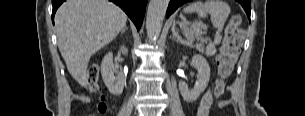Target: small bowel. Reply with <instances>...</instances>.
Wrapping results in <instances>:
<instances>
[{
	"mask_svg": "<svg viewBox=\"0 0 305 116\" xmlns=\"http://www.w3.org/2000/svg\"><path fill=\"white\" fill-rule=\"evenodd\" d=\"M213 102L212 94L208 90L202 97L198 110H197V116H208L209 109L211 107V104ZM224 104L222 103L221 106Z\"/></svg>",
	"mask_w": 305,
	"mask_h": 116,
	"instance_id": "small-bowel-1",
	"label": "small bowel"
}]
</instances>
